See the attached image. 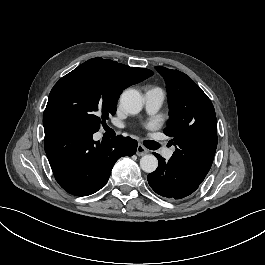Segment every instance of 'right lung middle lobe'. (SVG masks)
Instances as JSON below:
<instances>
[{
  "label": "right lung middle lobe",
  "instance_id": "right-lung-middle-lobe-1",
  "mask_svg": "<svg viewBox=\"0 0 265 265\" xmlns=\"http://www.w3.org/2000/svg\"><path fill=\"white\" fill-rule=\"evenodd\" d=\"M122 90L99 62L90 59L54 85L43 120L66 121L95 133L115 114Z\"/></svg>",
  "mask_w": 265,
  "mask_h": 265
}]
</instances>
